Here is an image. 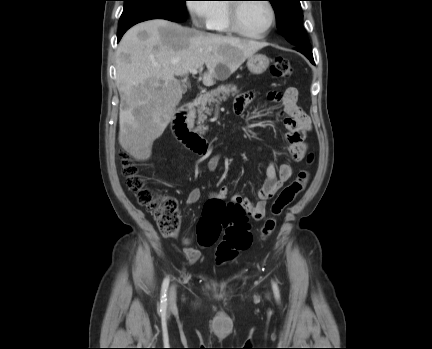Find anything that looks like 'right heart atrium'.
<instances>
[{
  "label": "right heart atrium",
  "instance_id": "1",
  "mask_svg": "<svg viewBox=\"0 0 432 349\" xmlns=\"http://www.w3.org/2000/svg\"><path fill=\"white\" fill-rule=\"evenodd\" d=\"M212 0H187L186 7L192 23L199 28L208 27L214 11Z\"/></svg>",
  "mask_w": 432,
  "mask_h": 349
}]
</instances>
